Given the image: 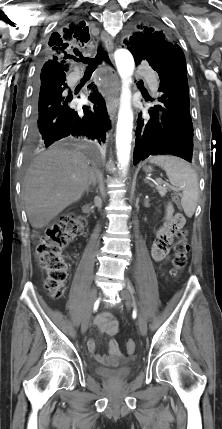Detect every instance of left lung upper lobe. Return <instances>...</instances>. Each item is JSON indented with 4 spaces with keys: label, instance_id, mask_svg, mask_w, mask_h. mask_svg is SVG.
I'll use <instances>...</instances> for the list:
<instances>
[{
    "label": "left lung upper lobe",
    "instance_id": "obj_1",
    "mask_svg": "<svg viewBox=\"0 0 222 429\" xmlns=\"http://www.w3.org/2000/svg\"><path fill=\"white\" fill-rule=\"evenodd\" d=\"M137 28L138 30L124 41L133 56L146 59L151 64L157 61L160 51L175 49L186 66L182 49L168 35L150 25L140 24Z\"/></svg>",
    "mask_w": 222,
    "mask_h": 429
}]
</instances>
